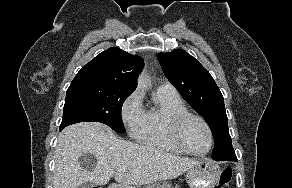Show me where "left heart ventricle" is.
<instances>
[{"mask_svg":"<svg viewBox=\"0 0 292 188\" xmlns=\"http://www.w3.org/2000/svg\"><path fill=\"white\" fill-rule=\"evenodd\" d=\"M185 144L195 152H204L209 146V136L204 125L196 120L190 119L182 130Z\"/></svg>","mask_w":292,"mask_h":188,"instance_id":"b2bd125f","label":"left heart ventricle"}]
</instances>
